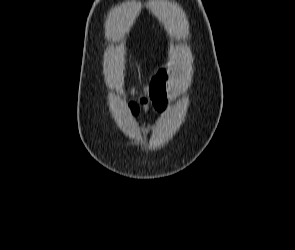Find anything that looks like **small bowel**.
Masks as SVG:
<instances>
[{
    "label": "small bowel",
    "mask_w": 295,
    "mask_h": 250,
    "mask_svg": "<svg viewBox=\"0 0 295 250\" xmlns=\"http://www.w3.org/2000/svg\"><path fill=\"white\" fill-rule=\"evenodd\" d=\"M167 69H161L151 80L146 88V96L140 102L146 104L151 102L158 113H163L167 108Z\"/></svg>",
    "instance_id": "obj_1"
}]
</instances>
